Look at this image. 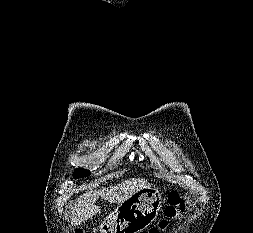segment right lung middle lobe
<instances>
[{
  "label": "right lung middle lobe",
  "instance_id": "obj_1",
  "mask_svg": "<svg viewBox=\"0 0 253 233\" xmlns=\"http://www.w3.org/2000/svg\"><path fill=\"white\" fill-rule=\"evenodd\" d=\"M88 175H90V171L82 169V168H78V169H75L73 177L79 178L81 176H88Z\"/></svg>",
  "mask_w": 253,
  "mask_h": 233
}]
</instances>
